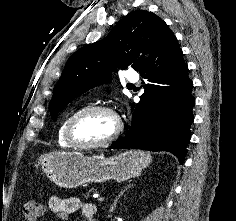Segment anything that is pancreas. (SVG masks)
Here are the masks:
<instances>
[{
    "label": "pancreas",
    "mask_w": 236,
    "mask_h": 221,
    "mask_svg": "<svg viewBox=\"0 0 236 221\" xmlns=\"http://www.w3.org/2000/svg\"><path fill=\"white\" fill-rule=\"evenodd\" d=\"M90 192H96V189L92 188L90 189L86 194H85V197H88Z\"/></svg>",
    "instance_id": "pancreas-1"
}]
</instances>
